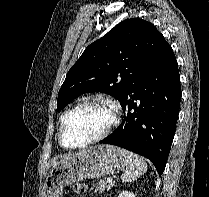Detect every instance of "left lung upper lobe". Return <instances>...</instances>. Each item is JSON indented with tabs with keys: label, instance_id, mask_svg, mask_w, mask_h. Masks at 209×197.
<instances>
[{
	"label": "left lung upper lobe",
	"instance_id": "left-lung-upper-lobe-1",
	"mask_svg": "<svg viewBox=\"0 0 209 197\" xmlns=\"http://www.w3.org/2000/svg\"><path fill=\"white\" fill-rule=\"evenodd\" d=\"M165 42L150 22L140 18L120 22L90 44L69 70L58 93L57 111L87 92H104L122 103Z\"/></svg>",
	"mask_w": 209,
	"mask_h": 197
}]
</instances>
